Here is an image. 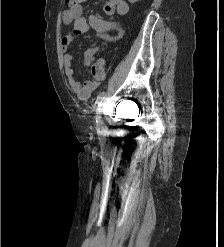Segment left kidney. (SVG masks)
I'll list each match as a JSON object with an SVG mask.
<instances>
[{
    "label": "left kidney",
    "instance_id": "left-kidney-1",
    "mask_svg": "<svg viewBox=\"0 0 224 247\" xmlns=\"http://www.w3.org/2000/svg\"><path fill=\"white\" fill-rule=\"evenodd\" d=\"M128 2H130V4H135V2H138V0H128Z\"/></svg>",
    "mask_w": 224,
    "mask_h": 247
}]
</instances>
